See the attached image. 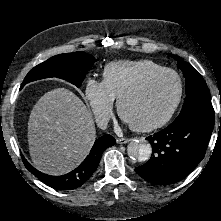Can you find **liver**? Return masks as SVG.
<instances>
[{"label": "liver", "instance_id": "obj_1", "mask_svg": "<svg viewBox=\"0 0 221 221\" xmlns=\"http://www.w3.org/2000/svg\"><path fill=\"white\" fill-rule=\"evenodd\" d=\"M95 139L91 112L68 89L45 93L29 116V152L34 166L43 173L70 172L89 154Z\"/></svg>", "mask_w": 221, "mask_h": 221}]
</instances>
